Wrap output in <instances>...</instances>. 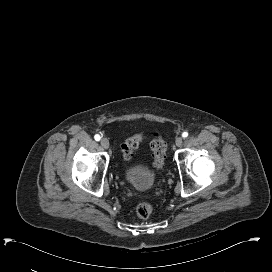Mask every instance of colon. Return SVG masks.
Here are the masks:
<instances>
[{
    "label": "colon",
    "instance_id": "1",
    "mask_svg": "<svg viewBox=\"0 0 272 272\" xmlns=\"http://www.w3.org/2000/svg\"><path fill=\"white\" fill-rule=\"evenodd\" d=\"M142 141V135L137 134L127 139L122 145V153L125 160H130L133 156L134 151L139 147ZM152 149V167L154 171H159L164 164L166 157V143L164 139L157 135L151 142ZM136 215L141 219H147L150 217L153 211V206L148 200L140 201L136 206Z\"/></svg>",
    "mask_w": 272,
    "mask_h": 272
}]
</instances>
